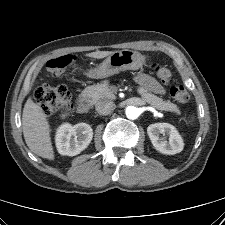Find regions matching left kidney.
Returning a JSON list of instances; mask_svg holds the SVG:
<instances>
[{
  "label": "left kidney",
  "mask_w": 225,
  "mask_h": 225,
  "mask_svg": "<svg viewBox=\"0 0 225 225\" xmlns=\"http://www.w3.org/2000/svg\"><path fill=\"white\" fill-rule=\"evenodd\" d=\"M148 136L156 150L162 154L174 155L183 150L184 143L175 127L169 123H155L147 128ZM160 134L168 135V141Z\"/></svg>",
  "instance_id": "obj_1"
}]
</instances>
